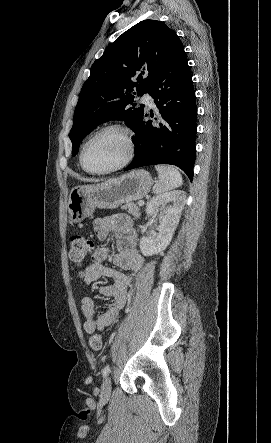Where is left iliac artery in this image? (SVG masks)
Returning a JSON list of instances; mask_svg holds the SVG:
<instances>
[{
    "mask_svg": "<svg viewBox=\"0 0 271 443\" xmlns=\"http://www.w3.org/2000/svg\"><path fill=\"white\" fill-rule=\"evenodd\" d=\"M109 373H110V366L106 365L102 370V375L103 377H107Z\"/></svg>",
    "mask_w": 271,
    "mask_h": 443,
    "instance_id": "44dca946",
    "label": "left iliac artery"
}]
</instances>
